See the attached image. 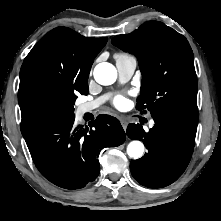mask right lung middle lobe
<instances>
[{"mask_svg":"<svg viewBox=\"0 0 221 221\" xmlns=\"http://www.w3.org/2000/svg\"><path fill=\"white\" fill-rule=\"evenodd\" d=\"M88 92V85L82 90L71 88L58 97L44 101L41 107L42 120L74 116L73 105L77 99V94L87 95Z\"/></svg>","mask_w":221,"mask_h":221,"instance_id":"1","label":"right lung middle lobe"}]
</instances>
